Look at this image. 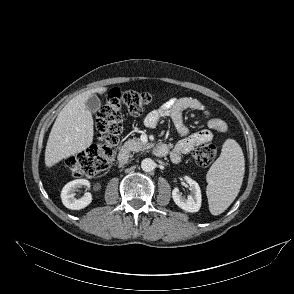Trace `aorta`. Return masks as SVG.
I'll list each match as a JSON object with an SVG mask.
<instances>
[{"instance_id":"obj_1","label":"aorta","mask_w":294,"mask_h":294,"mask_svg":"<svg viewBox=\"0 0 294 294\" xmlns=\"http://www.w3.org/2000/svg\"><path fill=\"white\" fill-rule=\"evenodd\" d=\"M141 168L145 172H150L155 169V162L150 158H145L141 162Z\"/></svg>"}]
</instances>
